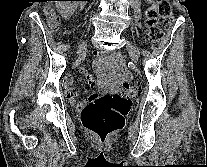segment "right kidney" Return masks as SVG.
Returning a JSON list of instances; mask_svg holds the SVG:
<instances>
[{"label":"right kidney","mask_w":207,"mask_h":167,"mask_svg":"<svg viewBox=\"0 0 207 167\" xmlns=\"http://www.w3.org/2000/svg\"><path fill=\"white\" fill-rule=\"evenodd\" d=\"M56 7L58 12L61 14L64 18H69L75 11V5L71 4V2H65V1H56Z\"/></svg>","instance_id":"obj_1"}]
</instances>
